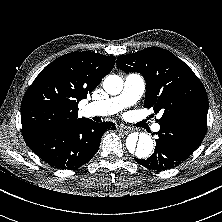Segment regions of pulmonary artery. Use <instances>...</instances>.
<instances>
[{
    "instance_id": "1",
    "label": "pulmonary artery",
    "mask_w": 222,
    "mask_h": 222,
    "mask_svg": "<svg viewBox=\"0 0 222 222\" xmlns=\"http://www.w3.org/2000/svg\"><path fill=\"white\" fill-rule=\"evenodd\" d=\"M144 89L145 81L141 75L135 73L128 74L124 80L123 90L119 95L87 104L85 113L88 116L115 114L133 105L142 96ZM159 129V124L153 126L154 131H158Z\"/></svg>"
}]
</instances>
